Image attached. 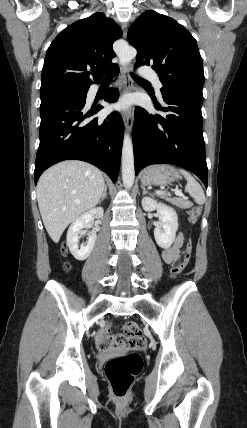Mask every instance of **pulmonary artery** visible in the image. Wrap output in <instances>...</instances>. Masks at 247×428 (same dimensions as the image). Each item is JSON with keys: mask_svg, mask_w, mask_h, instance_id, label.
Instances as JSON below:
<instances>
[{"mask_svg": "<svg viewBox=\"0 0 247 428\" xmlns=\"http://www.w3.org/2000/svg\"><path fill=\"white\" fill-rule=\"evenodd\" d=\"M140 74L143 75L144 77L154 81L156 88L158 91H160V88L162 87L161 82L159 81L158 77L156 76L155 72L153 70H151L148 67H142L140 69Z\"/></svg>", "mask_w": 247, "mask_h": 428, "instance_id": "pulmonary-artery-1", "label": "pulmonary artery"}]
</instances>
